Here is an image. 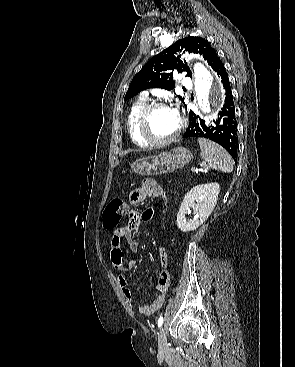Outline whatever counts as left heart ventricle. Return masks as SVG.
Instances as JSON below:
<instances>
[{
	"instance_id": "1",
	"label": "left heart ventricle",
	"mask_w": 295,
	"mask_h": 367,
	"mask_svg": "<svg viewBox=\"0 0 295 367\" xmlns=\"http://www.w3.org/2000/svg\"><path fill=\"white\" fill-rule=\"evenodd\" d=\"M178 117L170 108H158L149 118L150 134L157 139L170 137L178 128Z\"/></svg>"
}]
</instances>
